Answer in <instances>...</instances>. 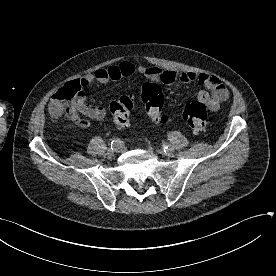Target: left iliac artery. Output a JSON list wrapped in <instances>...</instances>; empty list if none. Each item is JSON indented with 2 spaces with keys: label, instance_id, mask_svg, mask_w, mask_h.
Listing matches in <instances>:
<instances>
[{
  "label": "left iliac artery",
  "instance_id": "1",
  "mask_svg": "<svg viewBox=\"0 0 276 276\" xmlns=\"http://www.w3.org/2000/svg\"><path fill=\"white\" fill-rule=\"evenodd\" d=\"M170 149H173L172 146H171L170 144L166 143V144L163 145V150H164L165 152L168 151V150H170Z\"/></svg>",
  "mask_w": 276,
  "mask_h": 276
}]
</instances>
